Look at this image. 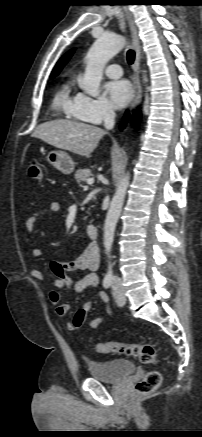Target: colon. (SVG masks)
Segmentation results:
<instances>
[{
  "label": "colon",
  "mask_w": 202,
  "mask_h": 437,
  "mask_svg": "<svg viewBox=\"0 0 202 437\" xmlns=\"http://www.w3.org/2000/svg\"><path fill=\"white\" fill-rule=\"evenodd\" d=\"M29 176L35 180L43 179V166L39 161H31ZM95 350L101 354H124L137 359L142 364H154L157 359L155 349L149 344L106 341L98 343L95 346ZM161 381L162 377L158 371H150L136 384L135 392L138 395L151 393L160 386Z\"/></svg>",
  "instance_id": "colon-1"
}]
</instances>
